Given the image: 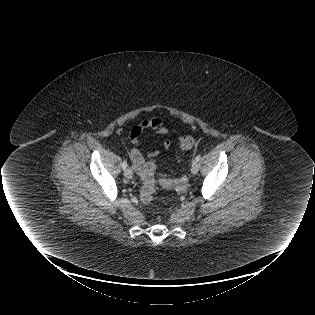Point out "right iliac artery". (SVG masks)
Segmentation results:
<instances>
[{
	"label": "right iliac artery",
	"mask_w": 315,
	"mask_h": 315,
	"mask_svg": "<svg viewBox=\"0 0 315 315\" xmlns=\"http://www.w3.org/2000/svg\"><path fill=\"white\" fill-rule=\"evenodd\" d=\"M126 167H127V161H126V159H125V160L123 161V163H122V169L125 170Z\"/></svg>",
	"instance_id": "1"
}]
</instances>
